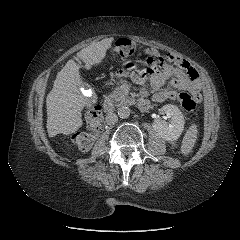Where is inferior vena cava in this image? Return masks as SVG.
Returning a JSON list of instances; mask_svg holds the SVG:
<instances>
[{
	"mask_svg": "<svg viewBox=\"0 0 240 240\" xmlns=\"http://www.w3.org/2000/svg\"><path fill=\"white\" fill-rule=\"evenodd\" d=\"M118 121V116L115 113H108L106 115V123L108 125H114Z\"/></svg>",
	"mask_w": 240,
	"mask_h": 240,
	"instance_id": "602c4592",
	"label": "inferior vena cava"
}]
</instances>
